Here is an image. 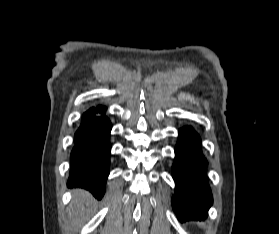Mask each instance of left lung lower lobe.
I'll return each instance as SVG.
<instances>
[{
    "instance_id": "obj_1",
    "label": "left lung lower lobe",
    "mask_w": 279,
    "mask_h": 234,
    "mask_svg": "<svg viewBox=\"0 0 279 234\" xmlns=\"http://www.w3.org/2000/svg\"><path fill=\"white\" fill-rule=\"evenodd\" d=\"M207 160L200 149V138L191 127L179 130L172 175L176 192L172 199L180 221L204 220L212 204V193L205 169Z\"/></svg>"
}]
</instances>
